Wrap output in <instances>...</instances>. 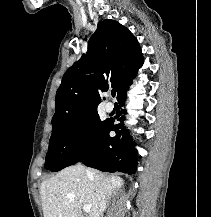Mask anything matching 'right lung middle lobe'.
<instances>
[{"label": "right lung middle lobe", "instance_id": "dd1d6c3e", "mask_svg": "<svg viewBox=\"0 0 211 217\" xmlns=\"http://www.w3.org/2000/svg\"><path fill=\"white\" fill-rule=\"evenodd\" d=\"M108 119L101 121L97 111L53 127L45 169L52 172L80 162L102 140Z\"/></svg>", "mask_w": 211, "mask_h": 217}]
</instances>
